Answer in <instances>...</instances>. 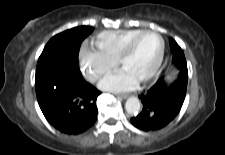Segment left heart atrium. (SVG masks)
Wrapping results in <instances>:
<instances>
[{
    "instance_id": "39dd6f15",
    "label": "left heart atrium",
    "mask_w": 225,
    "mask_h": 155,
    "mask_svg": "<svg viewBox=\"0 0 225 155\" xmlns=\"http://www.w3.org/2000/svg\"><path fill=\"white\" fill-rule=\"evenodd\" d=\"M139 79L125 68L106 76L100 84L104 90L119 92L134 89Z\"/></svg>"
}]
</instances>
